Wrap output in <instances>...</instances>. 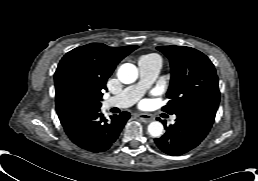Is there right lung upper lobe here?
Returning a JSON list of instances; mask_svg holds the SVG:
<instances>
[{
	"instance_id": "cb5924a9",
	"label": "right lung upper lobe",
	"mask_w": 258,
	"mask_h": 181,
	"mask_svg": "<svg viewBox=\"0 0 258 181\" xmlns=\"http://www.w3.org/2000/svg\"><path fill=\"white\" fill-rule=\"evenodd\" d=\"M137 47H108L102 43H91L71 50L61 59L56 69V94L62 83L72 78L102 98L107 79L116 65Z\"/></svg>"
}]
</instances>
